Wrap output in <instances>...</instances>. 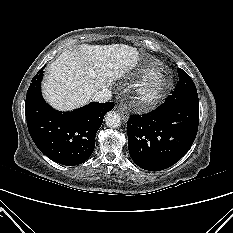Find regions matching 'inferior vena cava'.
<instances>
[{
    "instance_id": "inferior-vena-cava-1",
    "label": "inferior vena cava",
    "mask_w": 233,
    "mask_h": 233,
    "mask_svg": "<svg viewBox=\"0 0 233 233\" xmlns=\"http://www.w3.org/2000/svg\"><path fill=\"white\" fill-rule=\"evenodd\" d=\"M112 94L109 89H102L93 94L92 100L99 103L107 102L111 99Z\"/></svg>"
}]
</instances>
